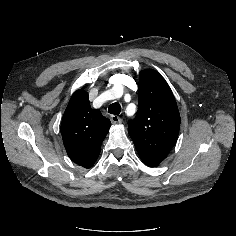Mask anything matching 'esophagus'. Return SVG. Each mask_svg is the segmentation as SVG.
I'll list each match as a JSON object with an SVG mask.
<instances>
[{"label": "esophagus", "mask_w": 236, "mask_h": 236, "mask_svg": "<svg viewBox=\"0 0 236 236\" xmlns=\"http://www.w3.org/2000/svg\"><path fill=\"white\" fill-rule=\"evenodd\" d=\"M110 120L113 124H119L122 122L121 118L117 115H111Z\"/></svg>", "instance_id": "obj_1"}]
</instances>
